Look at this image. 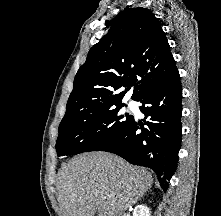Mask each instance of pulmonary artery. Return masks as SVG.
Returning <instances> with one entry per match:
<instances>
[{
  "instance_id": "e3ab8cb5",
  "label": "pulmonary artery",
  "mask_w": 221,
  "mask_h": 216,
  "mask_svg": "<svg viewBox=\"0 0 221 216\" xmlns=\"http://www.w3.org/2000/svg\"><path fill=\"white\" fill-rule=\"evenodd\" d=\"M129 107H131V108L135 107V102L134 101H130L129 102Z\"/></svg>"
}]
</instances>
